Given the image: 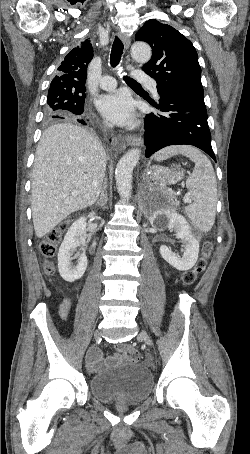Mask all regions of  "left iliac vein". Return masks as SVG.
<instances>
[{"label": "left iliac vein", "mask_w": 250, "mask_h": 454, "mask_svg": "<svg viewBox=\"0 0 250 454\" xmlns=\"http://www.w3.org/2000/svg\"><path fill=\"white\" fill-rule=\"evenodd\" d=\"M139 336L144 340V342H145L148 346L151 347V346L153 345L152 340L150 339V337L147 335L146 332L141 331V332L139 333Z\"/></svg>", "instance_id": "1"}]
</instances>
